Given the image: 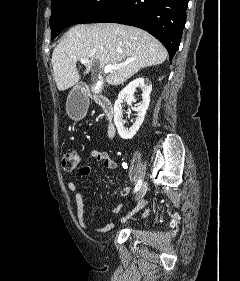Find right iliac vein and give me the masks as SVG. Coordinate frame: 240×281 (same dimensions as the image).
I'll return each mask as SVG.
<instances>
[{
    "label": "right iliac vein",
    "mask_w": 240,
    "mask_h": 281,
    "mask_svg": "<svg viewBox=\"0 0 240 281\" xmlns=\"http://www.w3.org/2000/svg\"><path fill=\"white\" fill-rule=\"evenodd\" d=\"M147 189H148L147 184L146 183L143 184V186L139 189V192L137 193L136 199L139 200L143 198L147 192Z\"/></svg>",
    "instance_id": "obj_1"
}]
</instances>
